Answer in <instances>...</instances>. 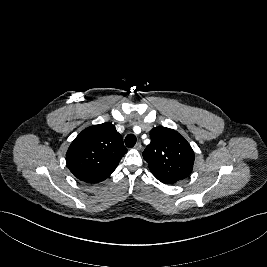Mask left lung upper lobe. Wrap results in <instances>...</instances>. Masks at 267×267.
Segmentation results:
<instances>
[{"label":"left lung upper lobe","mask_w":267,"mask_h":267,"mask_svg":"<svg viewBox=\"0 0 267 267\" xmlns=\"http://www.w3.org/2000/svg\"><path fill=\"white\" fill-rule=\"evenodd\" d=\"M150 137L143 157L151 173L174 182L188 177L195 159L190 144L177 131L162 126L153 128Z\"/></svg>","instance_id":"left-lung-upper-lobe-1"}]
</instances>
